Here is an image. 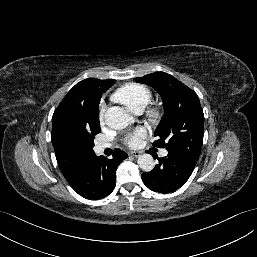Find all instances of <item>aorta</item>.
Returning a JSON list of instances; mask_svg holds the SVG:
<instances>
[{"label":"aorta","instance_id":"762f6f07","mask_svg":"<svg viewBox=\"0 0 257 257\" xmlns=\"http://www.w3.org/2000/svg\"><path fill=\"white\" fill-rule=\"evenodd\" d=\"M105 123L112 129L120 130L126 128L134 122L133 117L126 110L119 106L110 107L105 113ZM137 163L145 172H150L154 168V159L150 154H142L138 157Z\"/></svg>","mask_w":257,"mask_h":257}]
</instances>
